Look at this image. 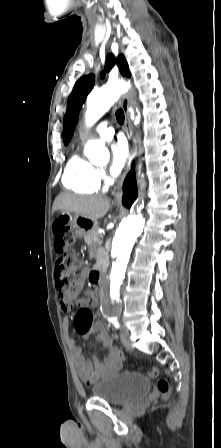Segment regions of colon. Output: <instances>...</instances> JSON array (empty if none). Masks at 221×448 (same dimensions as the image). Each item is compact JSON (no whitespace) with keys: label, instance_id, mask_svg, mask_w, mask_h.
Returning a JSON list of instances; mask_svg holds the SVG:
<instances>
[{"label":"colon","instance_id":"obj_1","mask_svg":"<svg viewBox=\"0 0 221 448\" xmlns=\"http://www.w3.org/2000/svg\"><path fill=\"white\" fill-rule=\"evenodd\" d=\"M57 239L61 242L63 254L56 266V281L60 292H66L72 285L71 275L77 270V260L74 253V233L70 220L66 217H59L53 226ZM90 322L87 321V326ZM159 374L158 368L153 366L147 375L156 378ZM158 392L164 399L170 397V385L165 378H159L156 383Z\"/></svg>","mask_w":221,"mask_h":448}]
</instances>
